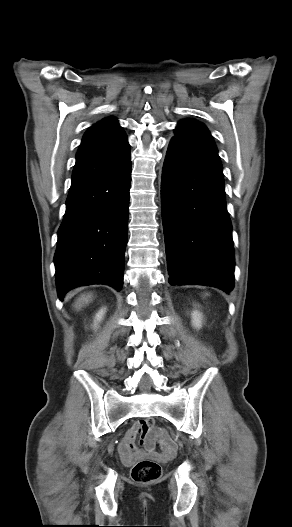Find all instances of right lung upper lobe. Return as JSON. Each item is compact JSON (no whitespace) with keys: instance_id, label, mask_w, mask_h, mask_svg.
Returning <instances> with one entry per match:
<instances>
[{"instance_id":"right-lung-upper-lobe-1","label":"right lung upper lobe","mask_w":292,"mask_h":527,"mask_svg":"<svg viewBox=\"0 0 292 527\" xmlns=\"http://www.w3.org/2000/svg\"><path fill=\"white\" fill-rule=\"evenodd\" d=\"M127 143V136L114 117L104 118L91 126L79 146L80 151L84 150H108L117 148Z\"/></svg>"}]
</instances>
